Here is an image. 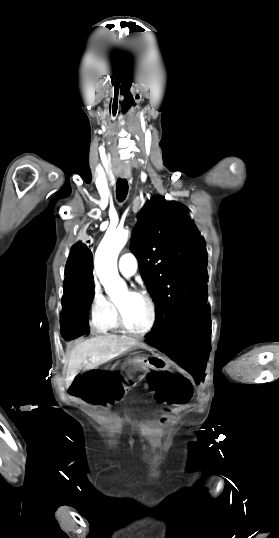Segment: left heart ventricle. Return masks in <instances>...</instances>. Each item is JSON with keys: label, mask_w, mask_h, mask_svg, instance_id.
<instances>
[{"label": "left heart ventricle", "mask_w": 279, "mask_h": 538, "mask_svg": "<svg viewBox=\"0 0 279 538\" xmlns=\"http://www.w3.org/2000/svg\"><path fill=\"white\" fill-rule=\"evenodd\" d=\"M124 305L127 324L134 330H142L146 327L150 318V310L146 301L138 296L131 295L127 289L117 297Z\"/></svg>", "instance_id": "left-heart-ventricle-1"}]
</instances>
